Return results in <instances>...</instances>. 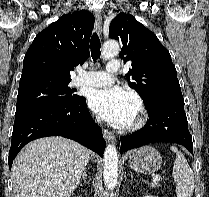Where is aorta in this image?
<instances>
[{"instance_id": "obj_1", "label": "aorta", "mask_w": 209, "mask_h": 197, "mask_svg": "<svg viewBox=\"0 0 209 197\" xmlns=\"http://www.w3.org/2000/svg\"><path fill=\"white\" fill-rule=\"evenodd\" d=\"M119 50L120 46L117 41H107L102 47V56L105 59L112 58L119 53ZM103 169L104 183L108 189L112 190L116 186L118 178V152L113 144H109L105 149Z\"/></svg>"}]
</instances>
